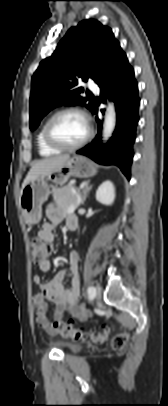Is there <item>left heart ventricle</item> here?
Wrapping results in <instances>:
<instances>
[{"label": "left heart ventricle", "instance_id": "1", "mask_svg": "<svg viewBox=\"0 0 168 406\" xmlns=\"http://www.w3.org/2000/svg\"><path fill=\"white\" fill-rule=\"evenodd\" d=\"M51 133L55 140L62 144H74L86 135L87 125L81 115L66 113L56 118L52 124Z\"/></svg>", "mask_w": 168, "mask_h": 406}]
</instances>
